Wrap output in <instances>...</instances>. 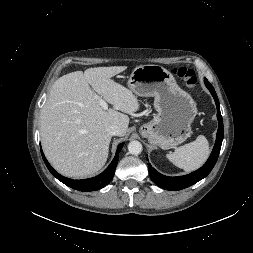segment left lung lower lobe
Returning <instances> with one entry per match:
<instances>
[{
  "label": "left lung lower lobe",
  "mask_w": 253,
  "mask_h": 253,
  "mask_svg": "<svg viewBox=\"0 0 253 253\" xmlns=\"http://www.w3.org/2000/svg\"><path fill=\"white\" fill-rule=\"evenodd\" d=\"M204 82H205L206 87L210 90L215 100L216 107H217V118L219 121V127L217 131V137H216V142H215L213 151L209 159L207 160V162L200 169L184 176H178V177L164 176L160 174L159 172H157L154 168H152L150 164H148L149 175H150L151 180L155 184H157L159 187L165 190H181L197 183L198 181L205 178L211 172V170L213 169L218 159L219 152L222 145V140H223V120L220 113L219 100L216 95V92L213 86L208 82L207 79H204Z\"/></svg>",
  "instance_id": "left-lung-lower-lobe-1"
}]
</instances>
